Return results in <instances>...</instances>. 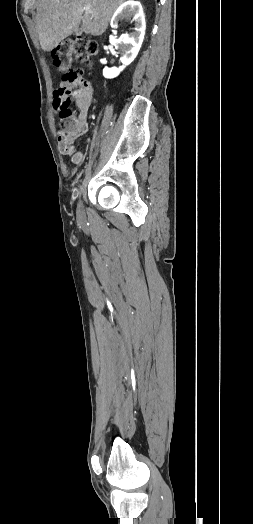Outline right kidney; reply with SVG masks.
Returning a JSON list of instances; mask_svg holds the SVG:
<instances>
[{"instance_id":"right-kidney-1","label":"right kidney","mask_w":253,"mask_h":524,"mask_svg":"<svg viewBox=\"0 0 253 524\" xmlns=\"http://www.w3.org/2000/svg\"><path fill=\"white\" fill-rule=\"evenodd\" d=\"M122 19H132L135 22V28L132 33L123 34L118 39L110 36V43L115 46L120 56L122 66L119 68H104L103 76L105 78H114L129 65L137 56L145 35V16L140 2L129 0L123 3L114 13L111 19V27L116 28Z\"/></svg>"}]
</instances>
